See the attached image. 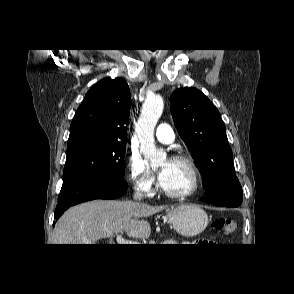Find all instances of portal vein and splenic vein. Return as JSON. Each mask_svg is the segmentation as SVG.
<instances>
[{
  "mask_svg": "<svg viewBox=\"0 0 294 294\" xmlns=\"http://www.w3.org/2000/svg\"><path fill=\"white\" fill-rule=\"evenodd\" d=\"M116 241H117V244H138L137 242L124 239L122 237V234L117 235Z\"/></svg>",
  "mask_w": 294,
  "mask_h": 294,
  "instance_id": "portal-vein-and-splenic-vein-1",
  "label": "portal vein and splenic vein"
}]
</instances>
